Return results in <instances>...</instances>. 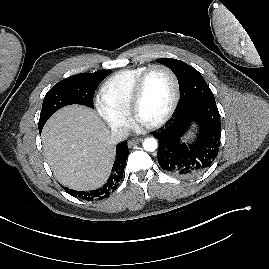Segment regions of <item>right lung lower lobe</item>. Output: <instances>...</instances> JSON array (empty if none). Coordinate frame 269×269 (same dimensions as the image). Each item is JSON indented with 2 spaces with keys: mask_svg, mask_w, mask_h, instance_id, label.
Listing matches in <instances>:
<instances>
[{
  "mask_svg": "<svg viewBox=\"0 0 269 269\" xmlns=\"http://www.w3.org/2000/svg\"><path fill=\"white\" fill-rule=\"evenodd\" d=\"M42 129H39L41 133ZM128 154L127 143L121 142L117 145V154L116 159L112 168V173L107 181V183L96 190L92 191H76L68 188H64L65 191H68L74 197H79L85 200H98L102 198H107L114 190H116L119 182L123 178L124 166L126 164Z\"/></svg>",
  "mask_w": 269,
  "mask_h": 269,
  "instance_id": "98d812e1",
  "label": "right lung lower lobe"
}]
</instances>
